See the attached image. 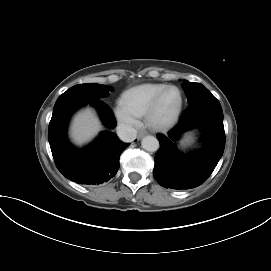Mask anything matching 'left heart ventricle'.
<instances>
[{"label": "left heart ventricle", "instance_id": "obj_1", "mask_svg": "<svg viewBox=\"0 0 271 271\" xmlns=\"http://www.w3.org/2000/svg\"><path fill=\"white\" fill-rule=\"evenodd\" d=\"M179 103V94L176 90L171 89L167 91L160 103L157 117L160 120L169 118L177 108Z\"/></svg>", "mask_w": 271, "mask_h": 271}]
</instances>
